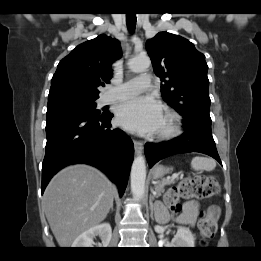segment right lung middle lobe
I'll return each instance as SVG.
<instances>
[{
	"mask_svg": "<svg viewBox=\"0 0 261 261\" xmlns=\"http://www.w3.org/2000/svg\"><path fill=\"white\" fill-rule=\"evenodd\" d=\"M97 98L82 97L74 94H60L48 98L47 117L63 113H81L98 116L100 111L96 109Z\"/></svg>",
	"mask_w": 261,
	"mask_h": 261,
	"instance_id": "1",
	"label": "right lung middle lobe"
}]
</instances>
